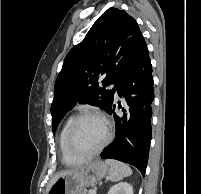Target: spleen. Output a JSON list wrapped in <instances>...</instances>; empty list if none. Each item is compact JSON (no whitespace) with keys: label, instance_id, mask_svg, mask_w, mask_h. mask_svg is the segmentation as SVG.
Returning a JSON list of instances; mask_svg holds the SVG:
<instances>
[{"label":"spleen","instance_id":"1","mask_svg":"<svg viewBox=\"0 0 201 194\" xmlns=\"http://www.w3.org/2000/svg\"><path fill=\"white\" fill-rule=\"evenodd\" d=\"M105 162L110 167L109 179L111 181H119L124 177L132 175L131 168L122 162L112 159H107Z\"/></svg>","mask_w":201,"mask_h":194}]
</instances>
